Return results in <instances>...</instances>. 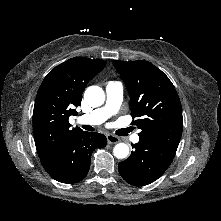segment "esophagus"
Here are the masks:
<instances>
[{
  "instance_id": "esophagus-1",
  "label": "esophagus",
  "mask_w": 221,
  "mask_h": 221,
  "mask_svg": "<svg viewBox=\"0 0 221 221\" xmlns=\"http://www.w3.org/2000/svg\"><path fill=\"white\" fill-rule=\"evenodd\" d=\"M107 141L109 144H115V143H118L120 141V139H119V137H117L115 135L108 134Z\"/></svg>"
}]
</instances>
